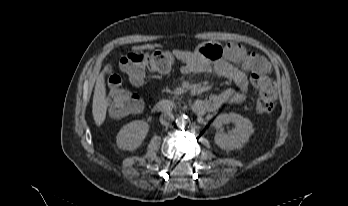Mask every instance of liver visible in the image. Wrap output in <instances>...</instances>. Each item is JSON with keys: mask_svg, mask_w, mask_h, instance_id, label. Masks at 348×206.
Wrapping results in <instances>:
<instances>
[{"mask_svg": "<svg viewBox=\"0 0 348 206\" xmlns=\"http://www.w3.org/2000/svg\"><path fill=\"white\" fill-rule=\"evenodd\" d=\"M107 105L105 79L104 74H101L95 85L92 105L93 118L97 126L102 125L106 118Z\"/></svg>", "mask_w": 348, "mask_h": 206, "instance_id": "liver-1", "label": "liver"}]
</instances>
